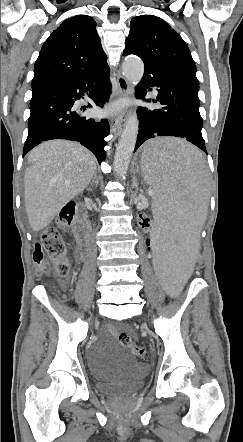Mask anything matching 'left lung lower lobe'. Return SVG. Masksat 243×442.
<instances>
[{
  "mask_svg": "<svg viewBox=\"0 0 243 442\" xmlns=\"http://www.w3.org/2000/svg\"><path fill=\"white\" fill-rule=\"evenodd\" d=\"M149 86L158 87L157 100L163 107H139L137 110L139 133L135 150L150 138L175 136L185 138L207 154L201 134L203 120L199 113V83L196 74L157 68L145 63L144 75L136 88V95L144 98ZM145 101L156 102L151 99Z\"/></svg>",
  "mask_w": 243,
  "mask_h": 442,
  "instance_id": "obj_1",
  "label": "left lung lower lobe"
}]
</instances>
